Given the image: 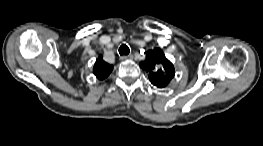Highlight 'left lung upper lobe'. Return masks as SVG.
<instances>
[{
  "instance_id": "1",
  "label": "left lung upper lobe",
  "mask_w": 263,
  "mask_h": 146,
  "mask_svg": "<svg viewBox=\"0 0 263 146\" xmlns=\"http://www.w3.org/2000/svg\"><path fill=\"white\" fill-rule=\"evenodd\" d=\"M140 66L149 72L151 83L159 88L166 87L175 75L173 64L160 48L148 51L146 60L142 61Z\"/></svg>"
}]
</instances>
